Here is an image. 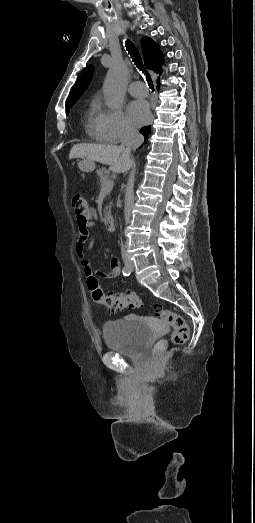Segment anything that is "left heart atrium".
Here are the masks:
<instances>
[{"instance_id":"39dd6f15","label":"left heart atrium","mask_w":255,"mask_h":523,"mask_svg":"<svg viewBox=\"0 0 255 523\" xmlns=\"http://www.w3.org/2000/svg\"><path fill=\"white\" fill-rule=\"evenodd\" d=\"M149 114V105L145 100H135L129 106V116L135 124L146 122Z\"/></svg>"}]
</instances>
